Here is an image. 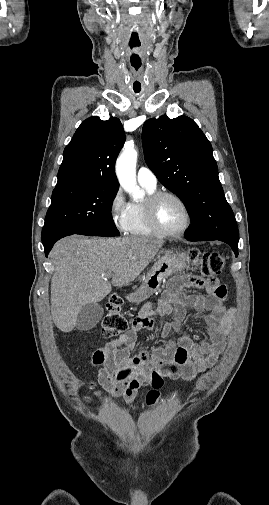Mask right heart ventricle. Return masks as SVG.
<instances>
[{
  "mask_svg": "<svg viewBox=\"0 0 269 505\" xmlns=\"http://www.w3.org/2000/svg\"><path fill=\"white\" fill-rule=\"evenodd\" d=\"M142 187L146 191L147 195L156 192V187L151 188L146 185H142ZM125 232L128 235L138 237H151L156 235L146 221L143 202H134L129 204V218Z\"/></svg>",
  "mask_w": 269,
  "mask_h": 505,
  "instance_id": "obj_1",
  "label": "right heart ventricle"
}]
</instances>
